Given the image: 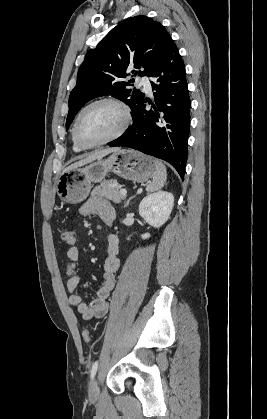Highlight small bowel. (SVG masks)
Returning <instances> with one entry per match:
<instances>
[{"label": "small bowel", "mask_w": 267, "mask_h": 419, "mask_svg": "<svg viewBox=\"0 0 267 419\" xmlns=\"http://www.w3.org/2000/svg\"><path fill=\"white\" fill-rule=\"evenodd\" d=\"M83 216H99L105 224H112L116 213L113 206L107 200L99 197L90 198L80 208ZM119 241L115 235L108 238L107 258L104 262L102 273L103 284L97 290L96 298L90 303L83 301L79 294L80 276L77 270L79 257L78 248L70 246L66 253V278L67 289L70 292L69 304L75 306L84 320H92L103 317L108 311L107 299L115 287V274L120 267L118 258Z\"/></svg>", "instance_id": "small-bowel-1"}]
</instances>
